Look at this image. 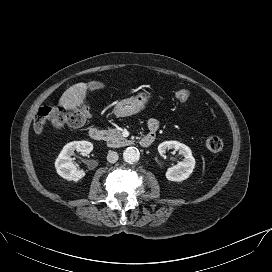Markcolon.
Returning <instances> with one entry per match:
<instances>
[{"mask_svg": "<svg viewBox=\"0 0 272 272\" xmlns=\"http://www.w3.org/2000/svg\"><path fill=\"white\" fill-rule=\"evenodd\" d=\"M177 101L185 103L191 99L189 89H179L175 92ZM90 116V110L86 103L76 106L59 105L55 108L43 106L38 110L34 121V129L37 133H42L49 123L59 127H78L83 125ZM206 146L212 152H220L223 149V141L216 135H211L206 139Z\"/></svg>", "mask_w": 272, "mask_h": 272, "instance_id": "1", "label": "colon"}]
</instances>
